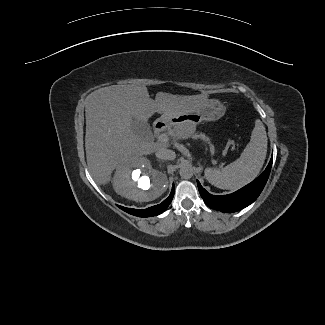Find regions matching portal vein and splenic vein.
Here are the masks:
<instances>
[{
	"instance_id": "18ae733b",
	"label": "portal vein and splenic vein",
	"mask_w": 325,
	"mask_h": 325,
	"mask_svg": "<svg viewBox=\"0 0 325 325\" xmlns=\"http://www.w3.org/2000/svg\"><path fill=\"white\" fill-rule=\"evenodd\" d=\"M158 140H159L160 142H162V143H166V142H168L169 137H168L167 134L162 133V134H160V135L158 136Z\"/></svg>"
}]
</instances>
